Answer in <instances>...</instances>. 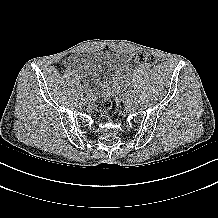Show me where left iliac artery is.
Returning a JSON list of instances; mask_svg holds the SVG:
<instances>
[{"instance_id": "left-iliac-artery-1", "label": "left iliac artery", "mask_w": 218, "mask_h": 218, "mask_svg": "<svg viewBox=\"0 0 218 218\" xmlns=\"http://www.w3.org/2000/svg\"><path fill=\"white\" fill-rule=\"evenodd\" d=\"M134 93H129L127 96V100H132V98H134Z\"/></svg>"}]
</instances>
